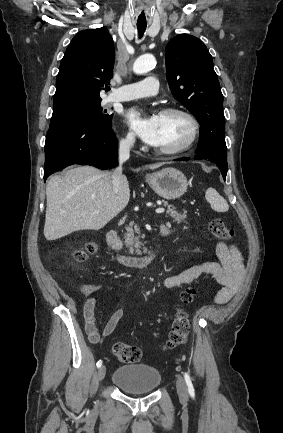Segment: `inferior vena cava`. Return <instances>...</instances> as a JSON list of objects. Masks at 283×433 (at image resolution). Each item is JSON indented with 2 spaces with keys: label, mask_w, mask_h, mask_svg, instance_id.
Returning <instances> with one entry per match:
<instances>
[{
  "label": "inferior vena cava",
  "mask_w": 283,
  "mask_h": 433,
  "mask_svg": "<svg viewBox=\"0 0 283 433\" xmlns=\"http://www.w3.org/2000/svg\"><path fill=\"white\" fill-rule=\"evenodd\" d=\"M133 142L134 140H131V138H125V140H121L119 144V166H117V168L113 170V174H112L114 192H118L120 182L124 176V174H122V162L128 160L130 156V148Z\"/></svg>",
  "instance_id": "602c4592"
}]
</instances>
